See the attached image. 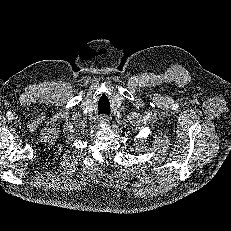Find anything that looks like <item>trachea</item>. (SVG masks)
Instances as JSON below:
<instances>
[{
    "mask_svg": "<svg viewBox=\"0 0 231 231\" xmlns=\"http://www.w3.org/2000/svg\"><path fill=\"white\" fill-rule=\"evenodd\" d=\"M102 113V112H101ZM103 113H105V114H108V112L106 111V112H103Z\"/></svg>",
    "mask_w": 231,
    "mask_h": 231,
    "instance_id": "trachea-1",
    "label": "trachea"
}]
</instances>
